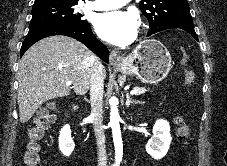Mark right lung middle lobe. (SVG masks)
I'll use <instances>...</instances> for the list:
<instances>
[{"mask_svg":"<svg viewBox=\"0 0 227 166\" xmlns=\"http://www.w3.org/2000/svg\"><path fill=\"white\" fill-rule=\"evenodd\" d=\"M76 3L48 2L33 5L29 31L48 25L87 26V20L74 11Z\"/></svg>","mask_w":227,"mask_h":166,"instance_id":"1","label":"right lung middle lobe"}]
</instances>
